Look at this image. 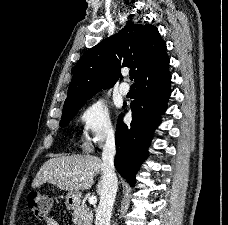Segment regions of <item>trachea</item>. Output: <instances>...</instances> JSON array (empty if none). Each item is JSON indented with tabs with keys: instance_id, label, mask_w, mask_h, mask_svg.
Returning a JSON list of instances; mask_svg holds the SVG:
<instances>
[{
	"instance_id": "trachea-1",
	"label": "trachea",
	"mask_w": 228,
	"mask_h": 225,
	"mask_svg": "<svg viewBox=\"0 0 228 225\" xmlns=\"http://www.w3.org/2000/svg\"><path fill=\"white\" fill-rule=\"evenodd\" d=\"M129 74H130V79L132 80L135 77V70L131 69ZM133 86L134 85H132V87Z\"/></svg>"
}]
</instances>
